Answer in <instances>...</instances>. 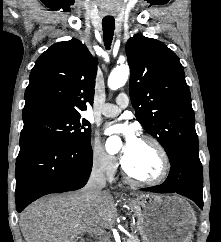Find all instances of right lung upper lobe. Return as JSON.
<instances>
[{"mask_svg":"<svg viewBox=\"0 0 221 242\" xmlns=\"http://www.w3.org/2000/svg\"><path fill=\"white\" fill-rule=\"evenodd\" d=\"M97 63L77 39L53 44L36 61L25 91L24 125L80 115L93 103Z\"/></svg>","mask_w":221,"mask_h":242,"instance_id":"1","label":"right lung upper lobe"}]
</instances>
